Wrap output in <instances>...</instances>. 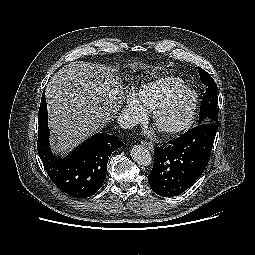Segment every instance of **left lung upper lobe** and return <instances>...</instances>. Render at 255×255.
<instances>
[{
	"mask_svg": "<svg viewBox=\"0 0 255 255\" xmlns=\"http://www.w3.org/2000/svg\"><path fill=\"white\" fill-rule=\"evenodd\" d=\"M198 69L202 83L208 87L202 99L198 125L203 123H216L218 121L216 104L217 85L205 70L200 67Z\"/></svg>",
	"mask_w": 255,
	"mask_h": 255,
	"instance_id": "left-lung-upper-lobe-1",
	"label": "left lung upper lobe"
}]
</instances>
